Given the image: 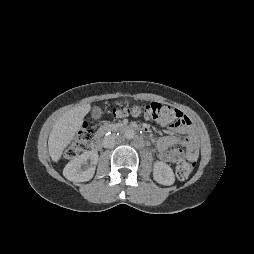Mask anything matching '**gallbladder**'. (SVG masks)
Returning a JSON list of instances; mask_svg holds the SVG:
<instances>
[{"mask_svg":"<svg viewBox=\"0 0 254 254\" xmlns=\"http://www.w3.org/2000/svg\"><path fill=\"white\" fill-rule=\"evenodd\" d=\"M102 115V110L99 107H95L92 111V117L94 119L100 118Z\"/></svg>","mask_w":254,"mask_h":254,"instance_id":"bac80fb5","label":"gallbladder"}]
</instances>
